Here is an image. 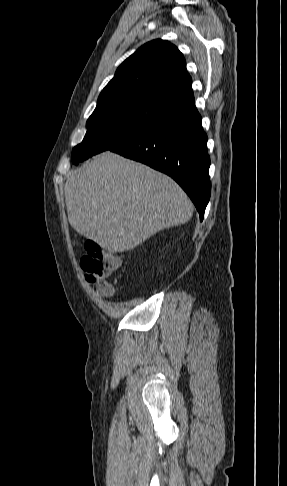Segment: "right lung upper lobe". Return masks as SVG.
Segmentation results:
<instances>
[{
	"mask_svg": "<svg viewBox=\"0 0 287 486\" xmlns=\"http://www.w3.org/2000/svg\"><path fill=\"white\" fill-rule=\"evenodd\" d=\"M191 84L182 53L170 42L157 39L141 46L118 67L96 107L148 103L171 111L194 101Z\"/></svg>",
	"mask_w": 287,
	"mask_h": 486,
	"instance_id": "obj_1",
	"label": "right lung upper lobe"
}]
</instances>
